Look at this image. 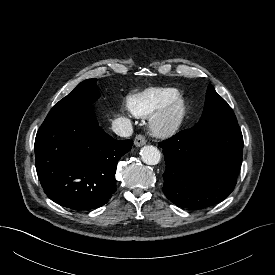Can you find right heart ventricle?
I'll return each instance as SVG.
<instances>
[{
  "label": "right heart ventricle",
  "mask_w": 275,
  "mask_h": 275,
  "mask_svg": "<svg viewBox=\"0 0 275 275\" xmlns=\"http://www.w3.org/2000/svg\"><path fill=\"white\" fill-rule=\"evenodd\" d=\"M180 96V91L173 87L147 88L135 95L129 101L130 111L137 116L148 117L170 104Z\"/></svg>",
  "instance_id": "right-heart-ventricle-1"
}]
</instances>
